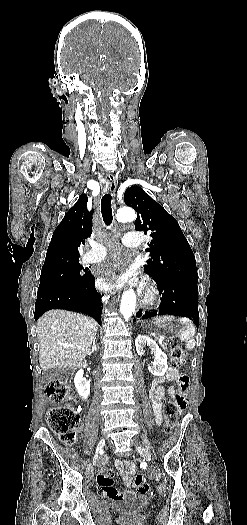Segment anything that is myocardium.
I'll list each match as a JSON object with an SVG mask.
<instances>
[{
  "label": "myocardium",
  "mask_w": 247,
  "mask_h": 525,
  "mask_svg": "<svg viewBox=\"0 0 247 525\" xmlns=\"http://www.w3.org/2000/svg\"><path fill=\"white\" fill-rule=\"evenodd\" d=\"M144 281L146 283L147 290L141 305H149L152 304L158 297L159 290L157 284L151 277H145Z\"/></svg>",
  "instance_id": "obj_1"
}]
</instances>
